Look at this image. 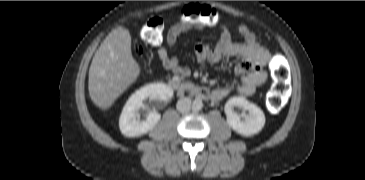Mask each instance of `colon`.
Here are the masks:
<instances>
[{
    "label": "colon",
    "instance_id": "obj_1",
    "mask_svg": "<svg viewBox=\"0 0 365 180\" xmlns=\"http://www.w3.org/2000/svg\"><path fill=\"white\" fill-rule=\"evenodd\" d=\"M182 18L187 23L216 26L218 14L206 5L190 4L182 10ZM165 23L159 16L148 19L140 31L141 39L149 45H159L163 40ZM137 55L142 59L143 50L140 46L136 49ZM273 84L267 93L266 102L272 112H279L285 105V94L288 89V68L282 55H277L271 61Z\"/></svg>",
    "mask_w": 365,
    "mask_h": 180
}]
</instances>
